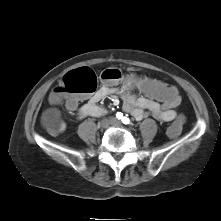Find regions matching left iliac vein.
I'll list each match as a JSON object with an SVG mask.
<instances>
[{"label": "left iliac vein", "mask_w": 221, "mask_h": 221, "mask_svg": "<svg viewBox=\"0 0 221 221\" xmlns=\"http://www.w3.org/2000/svg\"><path fill=\"white\" fill-rule=\"evenodd\" d=\"M111 124H112L113 126H116V127L121 126V123H120L119 121H117V120H112V121H111Z\"/></svg>", "instance_id": "obj_1"}]
</instances>
